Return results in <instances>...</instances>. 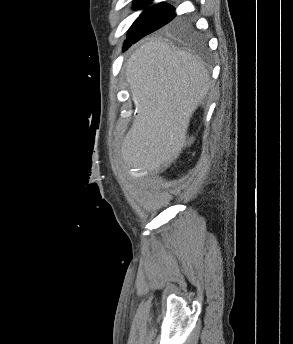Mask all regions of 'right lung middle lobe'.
<instances>
[{
	"mask_svg": "<svg viewBox=\"0 0 293 344\" xmlns=\"http://www.w3.org/2000/svg\"><path fill=\"white\" fill-rule=\"evenodd\" d=\"M147 4L149 3L135 4L134 7L135 9H140ZM174 10V7L165 4L155 5L146 9L130 28L124 49H127L143 36L171 22L175 17ZM167 28L172 29L187 41L201 43L200 36L183 22H171L167 25Z\"/></svg>",
	"mask_w": 293,
	"mask_h": 344,
	"instance_id": "dd1d6c3e",
	"label": "right lung middle lobe"
}]
</instances>
